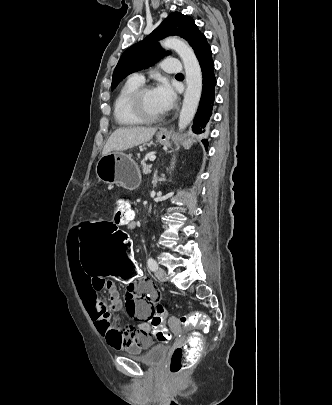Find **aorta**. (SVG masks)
<instances>
[{
    "label": "aorta",
    "instance_id": "obj_1",
    "mask_svg": "<svg viewBox=\"0 0 332 405\" xmlns=\"http://www.w3.org/2000/svg\"><path fill=\"white\" fill-rule=\"evenodd\" d=\"M165 48L174 50L181 58L186 73V91L179 115V130H184L193 120L202 94V72L193 49L185 41L168 37L161 42Z\"/></svg>",
    "mask_w": 332,
    "mask_h": 405
}]
</instances>
